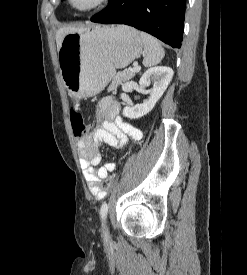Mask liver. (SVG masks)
<instances>
[{
	"label": "liver",
	"instance_id": "obj_1",
	"mask_svg": "<svg viewBox=\"0 0 247 275\" xmlns=\"http://www.w3.org/2000/svg\"><path fill=\"white\" fill-rule=\"evenodd\" d=\"M86 28H75V27H66V28H60L56 33V43H57V50L59 51L62 40L65 35L69 33L79 32V31H85Z\"/></svg>",
	"mask_w": 247,
	"mask_h": 275
}]
</instances>
